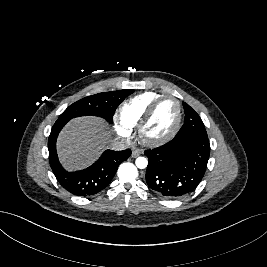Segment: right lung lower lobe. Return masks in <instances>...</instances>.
Listing matches in <instances>:
<instances>
[{"label":"right lung lower lobe","mask_w":267,"mask_h":267,"mask_svg":"<svg viewBox=\"0 0 267 267\" xmlns=\"http://www.w3.org/2000/svg\"><path fill=\"white\" fill-rule=\"evenodd\" d=\"M66 123L54 124L49 139V162L52 171L67 191L77 196L94 195L103 190L113 179L119 164L127 160L131 150L123 151L106 150L102 156L87 169L68 172L60 164L56 152V140L60 130Z\"/></svg>","instance_id":"right-lung-lower-lobe-1"}]
</instances>
